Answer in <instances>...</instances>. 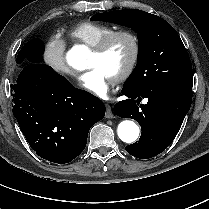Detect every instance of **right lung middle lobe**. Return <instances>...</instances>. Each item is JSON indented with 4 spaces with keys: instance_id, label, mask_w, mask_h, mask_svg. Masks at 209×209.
<instances>
[{
    "instance_id": "obj_1",
    "label": "right lung middle lobe",
    "mask_w": 209,
    "mask_h": 209,
    "mask_svg": "<svg viewBox=\"0 0 209 209\" xmlns=\"http://www.w3.org/2000/svg\"><path fill=\"white\" fill-rule=\"evenodd\" d=\"M44 50L45 46L41 40L38 38L32 39L19 51L16 62L18 64L22 63L24 60H28L29 62H40Z\"/></svg>"
}]
</instances>
